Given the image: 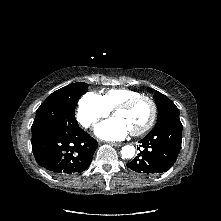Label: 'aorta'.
I'll use <instances>...</instances> for the list:
<instances>
[{
    "label": "aorta",
    "mask_w": 221,
    "mask_h": 221,
    "mask_svg": "<svg viewBox=\"0 0 221 221\" xmlns=\"http://www.w3.org/2000/svg\"><path fill=\"white\" fill-rule=\"evenodd\" d=\"M121 154L123 158L131 159L135 155V148L132 145H126L122 147Z\"/></svg>",
    "instance_id": "762f6f07"
}]
</instances>
